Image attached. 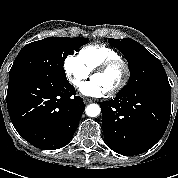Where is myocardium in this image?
Here are the masks:
<instances>
[{
	"label": "myocardium",
	"mask_w": 178,
	"mask_h": 178,
	"mask_svg": "<svg viewBox=\"0 0 178 178\" xmlns=\"http://www.w3.org/2000/svg\"><path fill=\"white\" fill-rule=\"evenodd\" d=\"M116 66H121L123 68V77L120 83L115 88L108 92L109 95H116L117 93L122 91L127 85L128 80L130 78V66L128 62L123 60L122 58L111 59L99 65L92 73L93 77L96 74L104 73Z\"/></svg>",
	"instance_id": "obj_1"
}]
</instances>
